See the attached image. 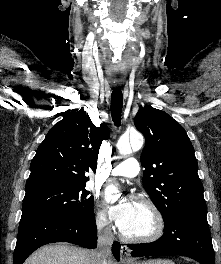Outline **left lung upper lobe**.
I'll use <instances>...</instances> for the list:
<instances>
[{
  "label": "left lung upper lobe",
  "mask_w": 221,
  "mask_h": 264,
  "mask_svg": "<svg viewBox=\"0 0 221 264\" xmlns=\"http://www.w3.org/2000/svg\"><path fill=\"white\" fill-rule=\"evenodd\" d=\"M145 136L143 187L163 220L206 217L194 148L184 128L164 111L144 107L134 119Z\"/></svg>",
  "instance_id": "5c2ea615"
}]
</instances>
